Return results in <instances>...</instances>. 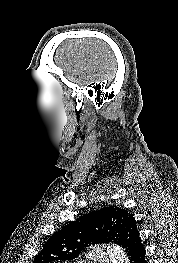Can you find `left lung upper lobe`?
Segmentation results:
<instances>
[{
    "instance_id": "obj_1",
    "label": "left lung upper lobe",
    "mask_w": 178,
    "mask_h": 263,
    "mask_svg": "<svg viewBox=\"0 0 178 263\" xmlns=\"http://www.w3.org/2000/svg\"><path fill=\"white\" fill-rule=\"evenodd\" d=\"M131 216L126 209L113 206L85 214L52 235L34 263L73 260L91 244L113 242L119 245Z\"/></svg>"
}]
</instances>
